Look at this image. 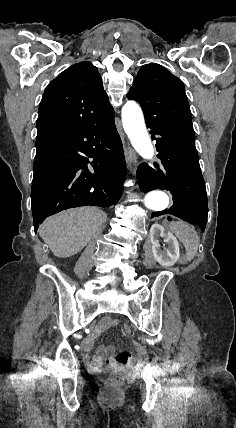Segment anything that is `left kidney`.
<instances>
[{
	"mask_svg": "<svg viewBox=\"0 0 236 428\" xmlns=\"http://www.w3.org/2000/svg\"><path fill=\"white\" fill-rule=\"evenodd\" d=\"M150 236L152 252L156 262H159L161 266H174L180 256L179 244L175 236L171 232H167L166 234L163 226H160V224H153L151 226ZM159 238H164L167 248L161 250Z\"/></svg>",
	"mask_w": 236,
	"mask_h": 428,
	"instance_id": "left-kidney-1",
	"label": "left kidney"
}]
</instances>
